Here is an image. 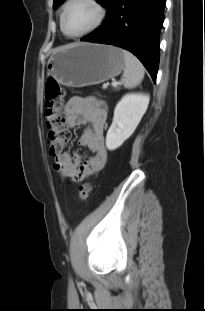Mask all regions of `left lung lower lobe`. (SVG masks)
<instances>
[{
	"instance_id": "left-lung-lower-lobe-1",
	"label": "left lung lower lobe",
	"mask_w": 205,
	"mask_h": 311,
	"mask_svg": "<svg viewBox=\"0 0 205 311\" xmlns=\"http://www.w3.org/2000/svg\"><path fill=\"white\" fill-rule=\"evenodd\" d=\"M165 1L114 0L104 23L81 40L112 44L130 51L143 63L155 83Z\"/></svg>"
}]
</instances>
